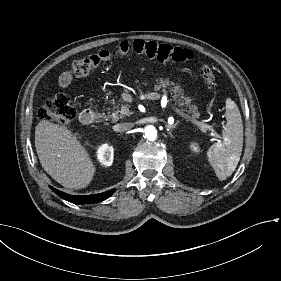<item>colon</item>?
<instances>
[{"label":"colon","instance_id":"5ec220e1","mask_svg":"<svg viewBox=\"0 0 281 281\" xmlns=\"http://www.w3.org/2000/svg\"><path fill=\"white\" fill-rule=\"evenodd\" d=\"M139 55L156 59L159 62H186L192 60V54L179 47L154 41L122 42L118 47L103 50L98 53L74 60L69 68L73 76H87L97 71L103 63L113 61L119 57ZM200 70L207 83L216 85L212 69L200 64ZM76 115L70 96L65 92L56 94L45 101L38 111V117L44 122H57L68 125Z\"/></svg>","mask_w":281,"mask_h":281}]
</instances>
